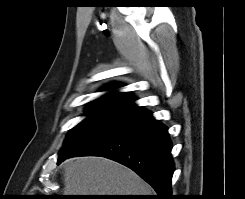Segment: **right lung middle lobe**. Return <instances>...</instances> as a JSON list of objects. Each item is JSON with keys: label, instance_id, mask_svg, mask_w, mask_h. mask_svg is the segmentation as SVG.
<instances>
[{"label": "right lung middle lobe", "instance_id": "1", "mask_svg": "<svg viewBox=\"0 0 245 199\" xmlns=\"http://www.w3.org/2000/svg\"><path fill=\"white\" fill-rule=\"evenodd\" d=\"M86 115L87 117L83 121L70 130L59 157L65 158L94 142L127 118L125 115L95 109H89Z\"/></svg>", "mask_w": 245, "mask_h": 199}]
</instances>
